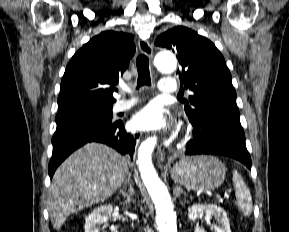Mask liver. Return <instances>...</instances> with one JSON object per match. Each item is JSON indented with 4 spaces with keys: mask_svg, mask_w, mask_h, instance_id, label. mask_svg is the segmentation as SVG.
<instances>
[{
    "mask_svg": "<svg viewBox=\"0 0 289 232\" xmlns=\"http://www.w3.org/2000/svg\"><path fill=\"white\" fill-rule=\"evenodd\" d=\"M129 159L99 143L71 154L56 170L49 188L51 223L60 230L68 216L104 202L121 186Z\"/></svg>",
    "mask_w": 289,
    "mask_h": 232,
    "instance_id": "obj_1",
    "label": "liver"
}]
</instances>
